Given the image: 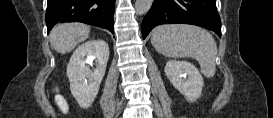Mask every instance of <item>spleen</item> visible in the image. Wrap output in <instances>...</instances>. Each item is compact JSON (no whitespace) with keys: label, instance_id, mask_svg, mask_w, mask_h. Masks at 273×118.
Here are the masks:
<instances>
[{"label":"spleen","instance_id":"spleen-1","mask_svg":"<svg viewBox=\"0 0 273 118\" xmlns=\"http://www.w3.org/2000/svg\"><path fill=\"white\" fill-rule=\"evenodd\" d=\"M151 43L166 57L196 59L204 76H214L217 45L206 30L187 25L159 26L153 31Z\"/></svg>","mask_w":273,"mask_h":118}]
</instances>
